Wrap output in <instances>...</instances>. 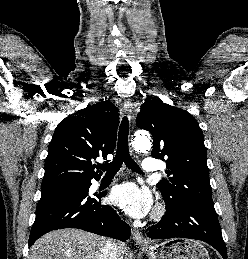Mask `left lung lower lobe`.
<instances>
[{"label": "left lung lower lobe", "mask_w": 248, "mask_h": 259, "mask_svg": "<svg viewBox=\"0 0 248 259\" xmlns=\"http://www.w3.org/2000/svg\"><path fill=\"white\" fill-rule=\"evenodd\" d=\"M166 209L167 212L162 220L147 229L149 238L201 240L213 246L223 256V259H227L226 246L222 239L214 205L166 206Z\"/></svg>", "instance_id": "obj_1"}]
</instances>
